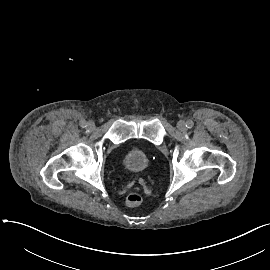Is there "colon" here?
<instances>
[{
    "label": "colon",
    "mask_w": 270,
    "mask_h": 270,
    "mask_svg": "<svg viewBox=\"0 0 270 270\" xmlns=\"http://www.w3.org/2000/svg\"><path fill=\"white\" fill-rule=\"evenodd\" d=\"M143 197L140 193L131 192L126 196L125 203L128 206H138L142 203Z\"/></svg>",
    "instance_id": "obj_1"
}]
</instances>
